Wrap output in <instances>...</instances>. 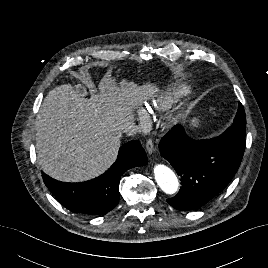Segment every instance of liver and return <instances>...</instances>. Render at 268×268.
I'll return each mask as SVG.
<instances>
[{"instance_id":"liver-1","label":"liver","mask_w":268,"mask_h":268,"mask_svg":"<svg viewBox=\"0 0 268 268\" xmlns=\"http://www.w3.org/2000/svg\"><path fill=\"white\" fill-rule=\"evenodd\" d=\"M71 84L55 87L36 117V152L45 174L62 182H82L103 174L116 160L125 125L134 109L151 97V84L119 85L106 75L90 99Z\"/></svg>"}]
</instances>
